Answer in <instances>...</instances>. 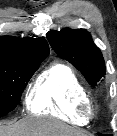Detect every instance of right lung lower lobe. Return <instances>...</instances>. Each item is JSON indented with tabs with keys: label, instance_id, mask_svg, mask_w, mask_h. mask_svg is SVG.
Segmentation results:
<instances>
[{
	"label": "right lung lower lobe",
	"instance_id": "98d812e1",
	"mask_svg": "<svg viewBox=\"0 0 117 136\" xmlns=\"http://www.w3.org/2000/svg\"><path fill=\"white\" fill-rule=\"evenodd\" d=\"M7 113H0V117L5 116Z\"/></svg>",
	"mask_w": 117,
	"mask_h": 136
}]
</instances>
